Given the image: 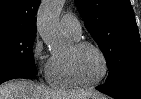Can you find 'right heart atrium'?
Wrapping results in <instances>:
<instances>
[{"instance_id": "obj_1", "label": "right heart atrium", "mask_w": 141, "mask_h": 99, "mask_svg": "<svg viewBox=\"0 0 141 99\" xmlns=\"http://www.w3.org/2000/svg\"><path fill=\"white\" fill-rule=\"evenodd\" d=\"M32 59L38 72L48 79L51 71L52 57H49L44 49L42 41L37 38L32 46Z\"/></svg>"}]
</instances>
